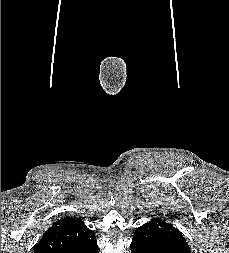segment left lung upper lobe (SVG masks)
I'll return each instance as SVG.
<instances>
[{
	"mask_svg": "<svg viewBox=\"0 0 229 253\" xmlns=\"http://www.w3.org/2000/svg\"><path fill=\"white\" fill-rule=\"evenodd\" d=\"M133 241L152 248L181 249L190 253V248L182 233L161 218L151 219L137 228Z\"/></svg>",
	"mask_w": 229,
	"mask_h": 253,
	"instance_id": "obj_1",
	"label": "left lung upper lobe"
}]
</instances>
